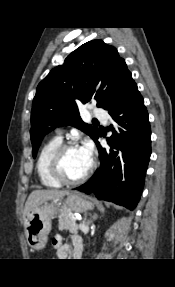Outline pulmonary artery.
Returning <instances> with one entry per match:
<instances>
[{"instance_id": "1", "label": "pulmonary artery", "mask_w": 175, "mask_h": 287, "mask_svg": "<svg viewBox=\"0 0 175 287\" xmlns=\"http://www.w3.org/2000/svg\"><path fill=\"white\" fill-rule=\"evenodd\" d=\"M93 114L99 118H106V112L103 108H94Z\"/></svg>"}]
</instances>
